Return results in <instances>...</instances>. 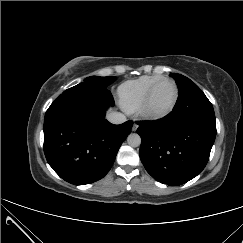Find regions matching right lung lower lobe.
<instances>
[{
    "mask_svg": "<svg viewBox=\"0 0 243 243\" xmlns=\"http://www.w3.org/2000/svg\"><path fill=\"white\" fill-rule=\"evenodd\" d=\"M114 105L107 88L80 83L65 90L44 119V153L52 169L74 185L103 178L133 125H114L105 110Z\"/></svg>",
    "mask_w": 243,
    "mask_h": 243,
    "instance_id": "98d812e1",
    "label": "right lung lower lobe"
}]
</instances>
